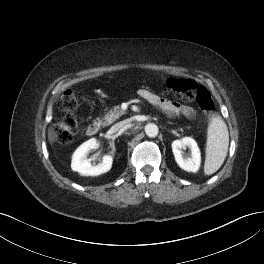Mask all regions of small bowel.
<instances>
[{"label": "small bowel", "mask_w": 264, "mask_h": 264, "mask_svg": "<svg viewBox=\"0 0 264 264\" xmlns=\"http://www.w3.org/2000/svg\"><path fill=\"white\" fill-rule=\"evenodd\" d=\"M139 95L143 99L161 108L165 112L172 114H182L186 117H193L195 114V111L192 107L188 105L180 104L175 101L164 99L146 89L139 90Z\"/></svg>", "instance_id": "small-bowel-1"}]
</instances>
